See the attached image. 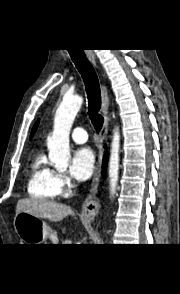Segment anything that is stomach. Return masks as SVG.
<instances>
[{
  "instance_id": "1",
  "label": "stomach",
  "mask_w": 180,
  "mask_h": 294,
  "mask_svg": "<svg viewBox=\"0 0 180 294\" xmlns=\"http://www.w3.org/2000/svg\"><path fill=\"white\" fill-rule=\"evenodd\" d=\"M14 228L23 244H42L53 235L47 223L32 214L20 212L14 217Z\"/></svg>"
}]
</instances>
